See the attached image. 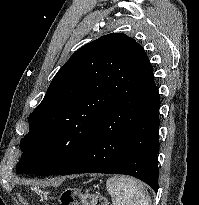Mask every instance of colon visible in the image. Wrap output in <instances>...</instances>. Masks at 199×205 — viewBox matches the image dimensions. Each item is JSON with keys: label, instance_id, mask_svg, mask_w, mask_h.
Listing matches in <instances>:
<instances>
[{"label": "colon", "instance_id": "obj_1", "mask_svg": "<svg viewBox=\"0 0 199 205\" xmlns=\"http://www.w3.org/2000/svg\"><path fill=\"white\" fill-rule=\"evenodd\" d=\"M60 205H108L103 196H96L90 192L80 193L73 189H67L61 193Z\"/></svg>", "mask_w": 199, "mask_h": 205}]
</instances>
